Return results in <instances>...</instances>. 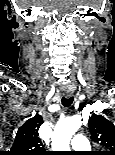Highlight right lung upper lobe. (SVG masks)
Segmentation results:
<instances>
[{"label": "right lung upper lobe", "instance_id": "obj_1", "mask_svg": "<svg viewBox=\"0 0 115 155\" xmlns=\"http://www.w3.org/2000/svg\"><path fill=\"white\" fill-rule=\"evenodd\" d=\"M43 123L39 114L27 120L16 134L15 141L8 155H47L38 130Z\"/></svg>", "mask_w": 115, "mask_h": 155}]
</instances>
